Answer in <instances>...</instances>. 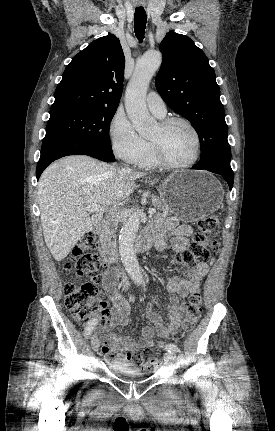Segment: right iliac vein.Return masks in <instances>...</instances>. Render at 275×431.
<instances>
[{
	"label": "right iliac vein",
	"mask_w": 275,
	"mask_h": 431,
	"mask_svg": "<svg viewBox=\"0 0 275 431\" xmlns=\"http://www.w3.org/2000/svg\"><path fill=\"white\" fill-rule=\"evenodd\" d=\"M91 345H92V349L94 350V351H97L98 350V348H99V346H100V341H99V339H98V337L97 336H92V338H91Z\"/></svg>",
	"instance_id": "1"
}]
</instances>
